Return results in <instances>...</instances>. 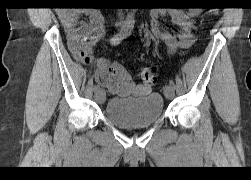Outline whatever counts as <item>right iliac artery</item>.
<instances>
[{
  "label": "right iliac artery",
  "instance_id": "right-iliac-artery-1",
  "mask_svg": "<svg viewBox=\"0 0 251 180\" xmlns=\"http://www.w3.org/2000/svg\"><path fill=\"white\" fill-rule=\"evenodd\" d=\"M134 24H135V19H134V15L133 14H129L126 18V20L124 21V25L122 26L121 30L116 33L110 40L111 45H118L123 39L127 38L133 28H134ZM94 91H98L100 89L99 85H95L94 86Z\"/></svg>",
  "mask_w": 251,
  "mask_h": 180
}]
</instances>
